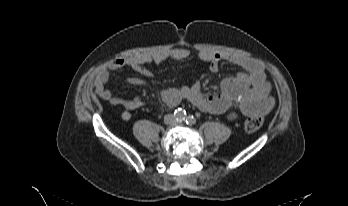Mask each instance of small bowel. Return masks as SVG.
Segmentation results:
<instances>
[{"mask_svg": "<svg viewBox=\"0 0 348 206\" xmlns=\"http://www.w3.org/2000/svg\"><path fill=\"white\" fill-rule=\"evenodd\" d=\"M189 56L184 48L166 50L162 52L138 53L126 58H119L99 71L94 82L97 97L113 106L123 107L121 118L131 119V112L144 106L139 97L124 98L114 95L107 83L111 72H121L126 68L137 71L141 77H131L125 80V86H140L147 84L152 73L145 67L146 64H158L166 60H183ZM199 58L209 64L212 73L217 72L219 63L227 60L243 68L234 76L225 77L222 81V92L214 95H204L201 84L196 81L190 86L167 88L162 90L164 101L170 106H176L182 100H188L193 106L203 112L211 114H227L228 119L234 121L238 116L266 114L270 112L275 101L271 96V84L268 82L264 68L257 62L241 55H222L208 50L199 52Z\"/></svg>", "mask_w": 348, "mask_h": 206, "instance_id": "1", "label": "small bowel"}]
</instances>
